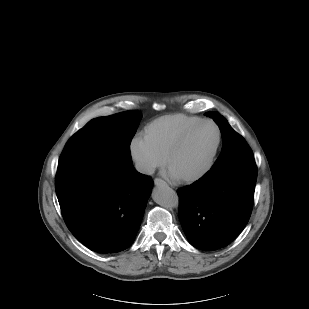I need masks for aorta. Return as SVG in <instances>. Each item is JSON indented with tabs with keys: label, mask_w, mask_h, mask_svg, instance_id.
Wrapping results in <instances>:
<instances>
[{
	"label": "aorta",
	"mask_w": 309,
	"mask_h": 309,
	"mask_svg": "<svg viewBox=\"0 0 309 309\" xmlns=\"http://www.w3.org/2000/svg\"><path fill=\"white\" fill-rule=\"evenodd\" d=\"M153 200L165 208H175L179 204L177 193L167 184L157 186L152 191Z\"/></svg>",
	"instance_id": "1"
}]
</instances>
